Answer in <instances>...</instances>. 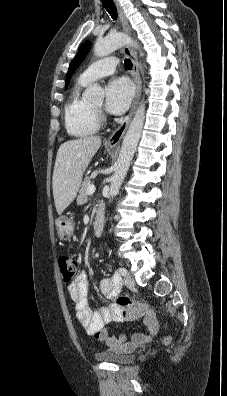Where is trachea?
<instances>
[{"label": "trachea", "mask_w": 227, "mask_h": 396, "mask_svg": "<svg viewBox=\"0 0 227 396\" xmlns=\"http://www.w3.org/2000/svg\"><path fill=\"white\" fill-rule=\"evenodd\" d=\"M104 8L106 9V11H108V13L110 14V16L116 20L117 19V9L115 7V4L112 0H101ZM124 66L126 69L130 70L132 69V62L129 59H125L124 60Z\"/></svg>", "instance_id": "3493384b"}]
</instances>
